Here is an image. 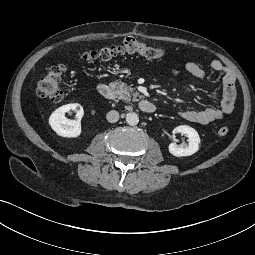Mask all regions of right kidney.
<instances>
[{
  "instance_id": "obj_1",
  "label": "right kidney",
  "mask_w": 255,
  "mask_h": 255,
  "mask_svg": "<svg viewBox=\"0 0 255 255\" xmlns=\"http://www.w3.org/2000/svg\"><path fill=\"white\" fill-rule=\"evenodd\" d=\"M76 111L77 120H69L65 113ZM84 115L83 107L78 103L66 104L56 109L49 118L51 128L62 137L76 138L81 134V119Z\"/></svg>"
}]
</instances>
